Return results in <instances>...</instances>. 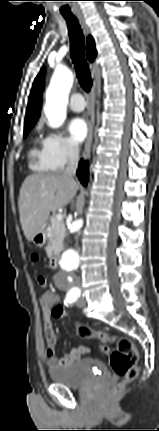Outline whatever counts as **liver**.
<instances>
[{"label":"liver","mask_w":159,"mask_h":431,"mask_svg":"<svg viewBox=\"0 0 159 431\" xmlns=\"http://www.w3.org/2000/svg\"><path fill=\"white\" fill-rule=\"evenodd\" d=\"M79 184L64 174H32L23 182L18 200L20 223L28 241L39 233L50 212L65 207Z\"/></svg>","instance_id":"obj_1"}]
</instances>
